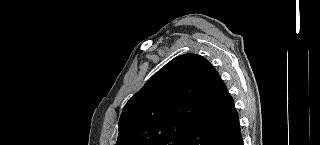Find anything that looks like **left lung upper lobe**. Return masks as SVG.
<instances>
[{"label": "left lung upper lobe", "instance_id": "left-lung-upper-lobe-1", "mask_svg": "<svg viewBox=\"0 0 320 145\" xmlns=\"http://www.w3.org/2000/svg\"><path fill=\"white\" fill-rule=\"evenodd\" d=\"M214 67L202 56H177L125 105L116 145H182L207 113Z\"/></svg>", "mask_w": 320, "mask_h": 145}]
</instances>
